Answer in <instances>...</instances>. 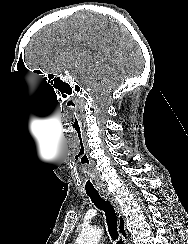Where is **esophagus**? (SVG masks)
I'll return each mask as SVG.
<instances>
[{"instance_id": "1", "label": "esophagus", "mask_w": 188, "mask_h": 244, "mask_svg": "<svg viewBox=\"0 0 188 244\" xmlns=\"http://www.w3.org/2000/svg\"><path fill=\"white\" fill-rule=\"evenodd\" d=\"M101 195L108 200L115 208L118 220V232L124 244L128 242V233L126 229V219L121 211L120 205L115 199V197L107 190H102Z\"/></svg>"}]
</instances>
